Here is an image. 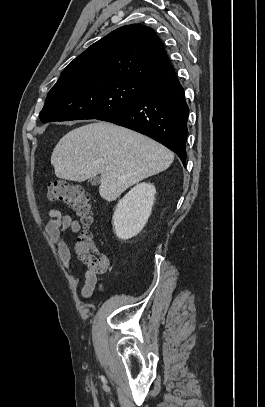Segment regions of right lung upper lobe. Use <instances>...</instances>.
Listing matches in <instances>:
<instances>
[{
	"label": "right lung upper lobe",
	"instance_id": "cb5924a9",
	"mask_svg": "<svg viewBox=\"0 0 265 407\" xmlns=\"http://www.w3.org/2000/svg\"><path fill=\"white\" fill-rule=\"evenodd\" d=\"M175 72L164 45L154 30L144 25L120 27L75 58L59 81L84 75L129 79L150 87Z\"/></svg>",
	"mask_w": 265,
	"mask_h": 407
}]
</instances>
